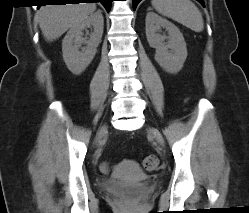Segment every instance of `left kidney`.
I'll list each match as a JSON object with an SVG mask.
<instances>
[{"label": "left kidney", "mask_w": 249, "mask_h": 213, "mask_svg": "<svg viewBox=\"0 0 249 213\" xmlns=\"http://www.w3.org/2000/svg\"><path fill=\"white\" fill-rule=\"evenodd\" d=\"M146 37L150 47L156 49L155 60L168 73H178L187 58V48L184 37L178 27L157 15L148 12L146 16ZM161 27L168 32V42L158 34Z\"/></svg>", "instance_id": "left-kidney-1"}]
</instances>
